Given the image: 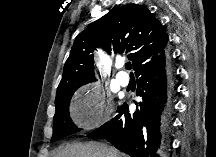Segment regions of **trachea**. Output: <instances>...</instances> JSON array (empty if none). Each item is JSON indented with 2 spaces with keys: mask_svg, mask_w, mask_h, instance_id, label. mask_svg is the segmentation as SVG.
I'll list each match as a JSON object with an SVG mask.
<instances>
[{
  "mask_svg": "<svg viewBox=\"0 0 216 157\" xmlns=\"http://www.w3.org/2000/svg\"><path fill=\"white\" fill-rule=\"evenodd\" d=\"M125 67H126L127 70H131L132 65H131L130 62H127V63L125 64Z\"/></svg>",
  "mask_w": 216,
  "mask_h": 157,
  "instance_id": "trachea-1",
  "label": "trachea"
}]
</instances>
